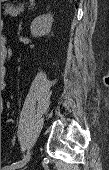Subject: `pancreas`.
<instances>
[{
    "label": "pancreas",
    "mask_w": 109,
    "mask_h": 170,
    "mask_svg": "<svg viewBox=\"0 0 109 170\" xmlns=\"http://www.w3.org/2000/svg\"><path fill=\"white\" fill-rule=\"evenodd\" d=\"M23 10V7H13V6H7L3 9L4 15H10L11 17L17 16L21 11Z\"/></svg>",
    "instance_id": "obj_1"
}]
</instances>
